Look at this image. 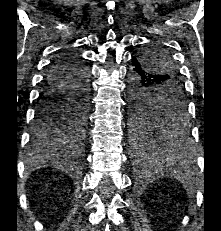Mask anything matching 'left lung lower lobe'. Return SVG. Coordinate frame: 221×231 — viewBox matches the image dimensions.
<instances>
[{"mask_svg":"<svg viewBox=\"0 0 221 231\" xmlns=\"http://www.w3.org/2000/svg\"><path fill=\"white\" fill-rule=\"evenodd\" d=\"M161 76L151 73L146 68V63L140 57L132 58V68L129 76V113L136 114L149 105L147 93L159 92ZM179 130L177 136L158 135L144 142H135L141 149H151L155 155L152 163L158 166L162 163L178 164L182 158L189 156L191 143L187 127L184 122L175 125ZM178 168V166H176Z\"/></svg>","mask_w":221,"mask_h":231,"instance_id":"obj_1","label":"left lung lower lobe"}]
</instances>
